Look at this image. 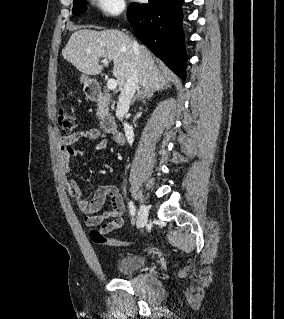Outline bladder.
<instances>
[{
	"instance_id": "1",
	"label": "bladder",
	"mask_w": 284,
	"mask_h": 319,
	"mask_svg": "<svg viewBox=\"0 0 284 319\" xmlns=\"http://www.w3.org/2000/svg\"><path fill=\"white\" fill-rule=\"evenodd\" d=\"M148 262L149 258L144 254H125L115 261L114 269L120 275H130L146 266Z\"/></svg>"
}]
</instances>
